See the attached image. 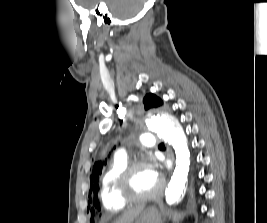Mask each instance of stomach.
<instances>
[{
	"label": "stomach",
	"instance_id": "stomach-1",
	"mask_svg": "<svg viewBox=\"0 0 267 223\" xmlns=\"http://www.w3.org/2000/svg\"><path fill=\"white\" fill-rule=\"evenodd\" d=\"M163 214L156 206L145 208L141 214L129 223H162Z\"/></svg>",
	"mask_w": 267,
	"mask_h": 223
}]
</instances>
